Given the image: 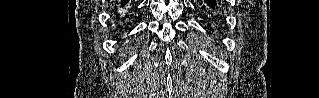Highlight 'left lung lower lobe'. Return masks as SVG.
Listing matches in <instances>:
<instances>
[{
    "label": "left lung lower lobe",
    "instance_id": "1",
    "mask_svg": "<svg viewBox=\"0 0 319 98\" xmlns=\"http://www.w3.org/2000/svg\"><path fill=\"white\" fill-rule=\"evenodd\" d=\"M206 4H207V7L209 9H215V7H216V1H214V0H209L206 2Z\"/></svg>",
    "mask_w": 319,
    "mask_h": 98
}]
</instances>
